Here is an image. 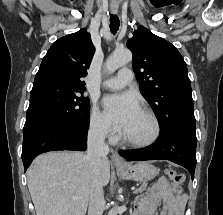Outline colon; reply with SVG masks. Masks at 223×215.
Wrapping results in <instances>:
<instances>
[{
	"instance_id": "5ec220e1",
	"label": "colon",
	"mask_w": 223,
	"mask_h": 215,
	"mask_svg": "<svg viewBox=\"0 0 223 215\" xmlns=\"http://www.w3.org/2000/svg\"><path fill=\"white\" fill-rule=\"evenodd\" d=\"M166 175L173 181L175 186L178 188L177 193L178 197L182 199V192L180 191L179 187L181 186L183 182V176L178 174L175 170L173 169H167L166 170Z\"/></svg>"
}]
</instances>
